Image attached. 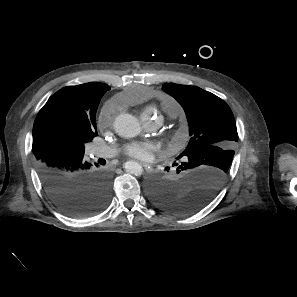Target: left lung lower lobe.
<instances>
[{"mask_svg": "<svg viewBox=\"0 0 297 297\" xmlns=\"http://www.w3.org/2000/svg\"><path fill=\"white\" fill-rule=\"evenodd\" d=\"M178 166L173 179H153L149 194L155 205L177 214H189L202 209L219 192L225 176L211 168Z\"/></svg>", "mask_w": 297, "mask_h": 297, "instance_id": "1", "label": "left lung lower lobe"}]
</instances>
